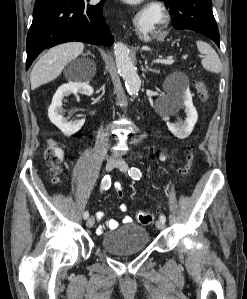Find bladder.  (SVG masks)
Returning <instances> with one entry per match:
<instances>
[{
	"label": "bladder",
	"instance_id": "1",
	"mask_svg": "<svg viewBox=\"0 0 247 299\" xmlns=\"http://www.w3.org/2000/svg\"><path fill=\"white\" fill-rule=\"evenodd\" d=\"M150 243L148 230L141 225L128 223L101 238L104 251L115 255H129L145 250Z\"/></svg>",
	"mask_w": 247,
	"mask_h": 299
}]
</instances>
